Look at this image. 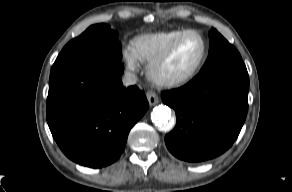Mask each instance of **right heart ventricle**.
<instances>
[{
  "label": "right heart ventricle",
  "instance_id": "right-heart-ventricle-1",
  "mask_svg": "<svg viewBox=\"0 0 292 192\" xmlns=\"http://www.w3.org/2000/svg\"><path fill=\"white\" fill-rule=\"evenodd\" d=\"M186 29H172L139 35L133 39L131 48L137 59L150 64Z\"/></svg>",
  "mask_w": 292,
  "mask_h": 192
}]
</instances>
